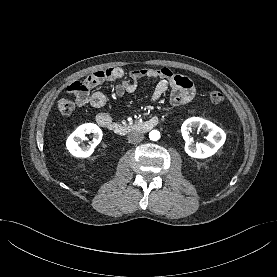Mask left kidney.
Returning a JSON list of instances; mask_svg holds the SVG:
<instances>
[{"label":"left kidney","instance_id":"1","mask_svg":"<svg viewBox=\"0 0 277 277\" xmlns=\"http://www.w3.org/2000/svg\"><path fill=\"white\" fill-rule=\"evenodd\" d=\"M196 128L203 129L208 133L207 142L194 144L189 139V132ZM181 132L186 141L185 152L193 158L204 159L214 155L226 140V134L221 128L199 117H192L184 121Z\"/></svg>","mask_w":277,"mask_h":277}]
</instances>
